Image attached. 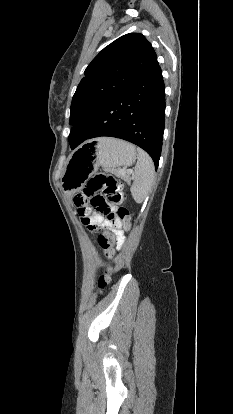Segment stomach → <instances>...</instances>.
Segmentation results:
<instances>
[{
    "label": "stomach",
    "mask_w": 233,
    "mask_h": 414,
    "mask_svg": "<svg viewBox=\"0 0 233 414\" xmlns=\"http://www.w3.org/2000/svg\"><path fill=\"white\" fill-rule=\"evenodd\" d=\"M134 145L114 138H96L76 149L66 164L61 184L71 197L100 166L110 172L129 167L136 160Z\"/></svg>",
    "instance_id": "1"
}]
</instances>
